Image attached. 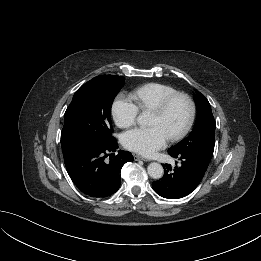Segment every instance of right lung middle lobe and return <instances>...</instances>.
<instances>
[{
  "label": "right lung middle lobe",
  "mask_w": 261,
  "mask_h": 261,
  "mask_svg": "<svg viewBox=\"0 0 261 261\" xmlns=\"http://www.w3.org/2000/svg\"><path fill=\"white\" fill-rule=\"evenodd\" d=\"M124 80L122 76L101 75L76 91L64 115L63 152L80 145L106 143L114 139L111 106L124 86Z\"/></svg>",
  "instance_id": "dd1d6c3e"
}]
</instances>
